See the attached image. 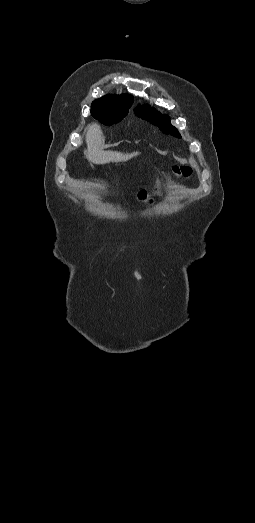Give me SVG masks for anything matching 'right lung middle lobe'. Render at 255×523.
Segmentation results:
<instances>
[{
    "label": "right lung middle lobe",
    "mask_w": 255,
    "mask_h": 523,
    "mask_svg": "<svg viewBox=\"0 0 255 523\" xmlns=\"http://www.w3.org/2000/svg\"><path fill=\"white\" fill-rule=\"evenodd\" d=\"M132 103L121 102L91 106V115L99 122L110 126L121 121L127 115Z\"/></svg>",
    "instance_id": "obj_1"
}]
</instances>
